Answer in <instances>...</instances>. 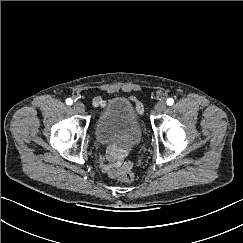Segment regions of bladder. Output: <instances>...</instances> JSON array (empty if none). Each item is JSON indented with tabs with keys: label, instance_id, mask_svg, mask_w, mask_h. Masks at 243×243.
I'll use <instances>...</instances> for the list:
<instances>
[{
	"label": "bladder",
	"instance_id": "obj_1",
	"mask_svg": "<svg viewBox=\"0 0 243 243\" xmlns=\"http://www.w3.org/2000/svg\"><path fill=\"white\" fill-rule=\"evenodd\" d=\"M143 126L133 104L125 97L110 99L94 125L100 144L121 143L137 147L143 140Z\"/></svg>",
	"mask_w": 243,
	"mask_h": 243
}]
</instances>
